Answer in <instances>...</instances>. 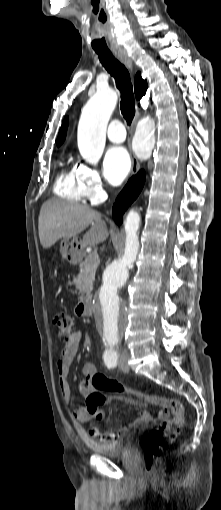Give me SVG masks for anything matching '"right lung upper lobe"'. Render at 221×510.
Returning a JSON list of instances; mask_svg holds the SVG:
<instances>
[{
  "mask_svg": "<svg viewBox=\"0 0 221 510\" xmlns=\"http://www.w3.org/2000/svg\"><path fill=\"white\" fill-rule=\"evenodd\" d=\"M147 82L141 78V74L137 73L134 83V91L137 99H140L146 94ZM68 127V117L64 120L57 139V145H61L66 137V131Z\"/></svg>",
  "mask_w": 221,
  "mask_h": 510,
  "instance_id": "right-lung-upper-lobe-1",
  "label": "right lung upper lobe"
}]
</instances>
